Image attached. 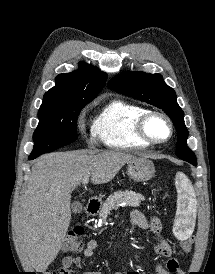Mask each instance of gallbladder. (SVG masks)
I'll list each match as a JSON object with an SVG mask.
<instances>
[{
	"label": "gallbladder",
	"instance_id": "1",
	"mask_svg": "<svg viewBox=\"0 0 215 274\" xmlns=\"http://www.w3.org/2000/svg\"><path fill=\"white\" fill-rule=\"evenodd\" d=\"M72 211L74 213H79L82 211V204L80 202H74L72 204Z\"/></svg>",
	"mask_w": 215,
	"mask_h": 274
}]
</instances>
